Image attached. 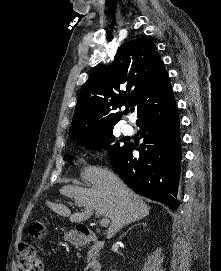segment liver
<instances>
[{"label": "liver", "mask_w": 221, "mask_h": 271, "mask_svg": "<svg viewBox=\"0 0 221 271\" xmlns=\"http://www.w3.org/2000/svg\"><path fill=\"white\" fill-rule=\"evenodd\" d=\"M81 175L86 181H91L92 187L83 189V187H74V185H64L60 191L69 197H74L77 205H85V209L71 213L66 205L48 201V205L53 211L69 217L72 223H80V221L89 219L95 209L99 215L110 217L111 223L107 229V237L110 239L123 225H129L132 221H139L149 215L148 203H145L140 195L134 193L108 167L89 165V167H84Z\"/></svg>", "instance_id": "6515ba94"}]
</instances>
